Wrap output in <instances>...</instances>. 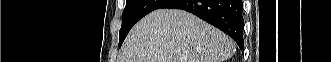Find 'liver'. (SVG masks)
<instances>
[{
  "mask_svg": "<svg viewBox=\"0 0 331 62\" xmlns=\"http://www.w3.org/2000/svg\"><path fill=\"white\" fill-rule=\"evenodd\" d=\"M235 49L229 36L193 14L159 9L132 28L121 62H224Z\"/></svg>",
  "mask_w": 331,
  "mask_h": 62,
  "instance_id": "liver-1",
  "label": "liver"
}]
</instances>
